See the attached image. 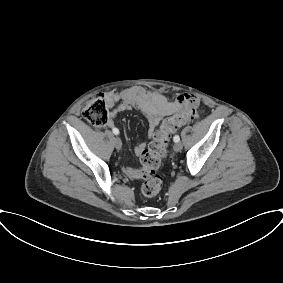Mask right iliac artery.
<instances>
[{
	"label": "right iliac artery",
	"mask_w": 283,
	"mask_h": 283,
	"mask_svg": "<svg viewBox=\"0 0 283 283\" xmlns=\"http://www.w3.org/2000/svg\"><path fill=\"white\" fill-rule=\"evenodd\" d=\"M112 131H113V133H114L115 135H118V134H119V130H118L117 128H113Z\"/></svg>",
	"instance_id": "right-iliac-artery-1"
}]
</instances>
